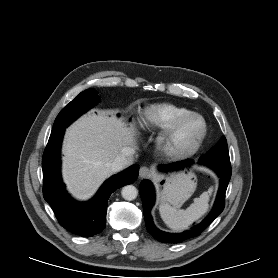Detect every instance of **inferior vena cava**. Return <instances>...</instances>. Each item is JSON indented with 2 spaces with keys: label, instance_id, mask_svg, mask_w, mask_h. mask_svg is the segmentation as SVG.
I'll return each instance as SVG.
<instances>
[{
  "label": "inferior vena cava",
  "instance_id": "obj_1",
  "mask_svg": "<svg viewBox=\"0 0 278 278\" xmlns=\"http://www.w3.org/2000/svg\"><path fill=\"white\" fill-rule=\"evenodd\" d=\"M134 150L131 148H125L122 154L117 155L114 161L111 163V169L113 172H117L129 165V155H132Z\"/></svg>",
  "mask_w": 278,
  "mask_h": 278
}]
</instances>
